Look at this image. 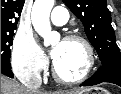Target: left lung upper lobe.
I'll return each mask as SVG.
<instances>
[{
	"label": "left lung upper lobe",
	"mask_w": 121,
	"mask_h": 94,
	"mask_svg": "<svg viewBox=\"0 0 121 94\" xmlns=\"http://www.w3.org/2000/svg\"><path fill=\"white\" fill-rule=\"evenodd\" d=\"M81 20L85 33L96 49L101 63H121L120 50L115 41L111 15L106 0H63Z\"/></svg>",
	"instance_id": "obj_1"
}]
</instances>
